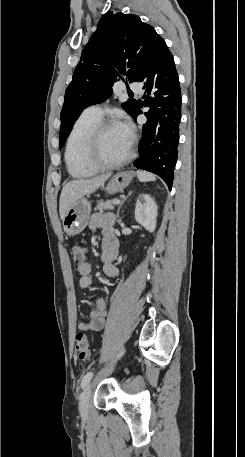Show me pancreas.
I'll use <instances>...</instances> for the list:
<instances>
[{"label":"pancreas","instance_id":"1","mask_svg":"<svg viewBox=\"0 0 245 457\" xmlns=\"http://www.w3.org/2000/svg\"><path fill=\"white\" fill-rule=\"evenodd\" d=\"M114 200V198H113ZM113 200H99L97 206H95L94 210H113L114 204Z\"/></svg>","mask_w":245,"mask_h":457}]
</instances>
